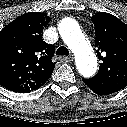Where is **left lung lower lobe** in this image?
<instances>
[{
	"label": "left lung lower lobe",
	"mask_w": 127,
	"mask_h": 127,
	"mask_svg": "<svg viewBox=\"0 0 127 127\" xmlns=\"http://www.w3.org/2000/svg\"><path fill=\"white\" fill-rule=\"evenodd\" d=\"M82 80L94 93L98 95L112 94L123 88L115 82L99 77H92L90 79Z\"/></svg>",
	"instance_id": "1"
}]
</instances>
